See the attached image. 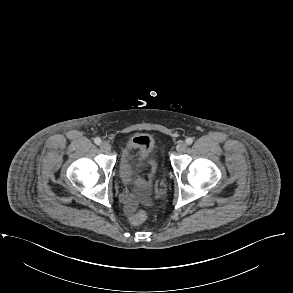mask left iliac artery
Listing matches in <instances>:
<instances>
[{"label":"left iliac artery","instance_id":"44dca946","mask_svg":"<svg viewBox=\"0 0 293 293\" xmlns=\"http://www.w3.org/2000/svg\"><path fill=\"white\" fill-rule=\"evenodd\" d=\"M186 143H187L188 145H191V144L193 143V139H192L191 137H188V138L186 139Z\"/></svg>","mask_w":293,"mask_h":293}]
</instances>
